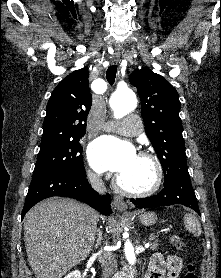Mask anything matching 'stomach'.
Returning a JSON list of instances; mask_svg holds the SVG:
<instances>
[{
  "label": "stomach",
  "mask_w": 221,
  "mask_h": 278,
  "mask_svg": "<svg viewBox=\"0 0 221 278\" xmlns=\"http://www.w3.org/2000/svg\"><path fill=\"white\" fill-rule=\"evenodd\" d=\"M140 222L145 226L154 225L157 221V215L154 212H144L139 215Z\"/></svg>",
  "instance_id": "0dacf381"
}]
</instances>
